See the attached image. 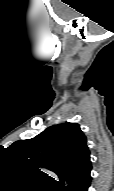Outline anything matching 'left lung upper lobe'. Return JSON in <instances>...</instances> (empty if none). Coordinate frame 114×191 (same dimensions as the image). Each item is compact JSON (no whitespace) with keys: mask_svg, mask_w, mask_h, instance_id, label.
<instances>
[{"mask_svg":"<svg viewBox=\"0 0 114 191\" xmlns=\"http://www.w3.org/2000/svg\"><path fill=\"white\" fill-rule=\"evenodd\" d=\"M20 163L40 171L37 167L55 172L63 186L90 157L86 136L77 123H62L45 129L32 139L19 140L8 147Z\"/></svg>","mask_w":114,"mask_h":191,"instance_id":"1","label":"left lung upper lobe"}]
</instances>
